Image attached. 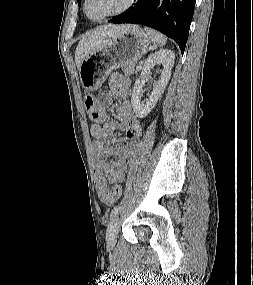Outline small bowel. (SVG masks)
Returning a JSON list of instances; mask_svg holds the SVG:
<instances>
[{"label":"small bowel","instance_id":"c3829d8e","mask_svg":"<svg viewBox=\"0 0 253 285\" xmlns=\"http://www.w3.org/2000/svg\"><path fill=\"white\" fill-rule=\"evenodd\" d=\"M130 81L122 75L114 74L109 79L108 89L96 100L92 111L88 112L94 123L90 133L94 137L96 152V191L99 199L106 205H113L121 196L114 187L123 182L129 169V161L138 152V140L142 135V127L128 99ZM117 96L121 103L117 108L119 123L108 120L107 111ZM119 129L125 133V143L120 146V140L114 132ZM110 157L116 158L111 161ZM108 182L114 184L109 186Z\"/></svg>","mask_w":253,"mask_h":285}]
</instances>
